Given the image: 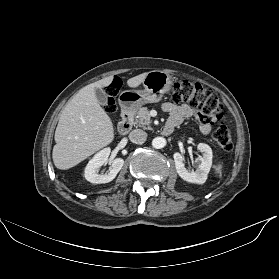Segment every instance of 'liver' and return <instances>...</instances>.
Segmentation results:
<instances>
[{
	"instance_id": "6515ba94",
	"label": "liver",
	"mask_w": 279,
	"mask_h": 279,
	"mask_svg": "<svg viewBox=\"0 0 279 279\" xmlns=\"http://www.w3.org/2000/svg\"><path fill=\"white\" fill-rule=\"evenodd\" d=\"M147 74L128 79L127 85L138 87ZM112 80L109 76L83 87L66 104L54 137L52 158L56 168L70 169L113 141V123L95 96L96 88L107 87Z\"/></svg>"
}]
</instances>
